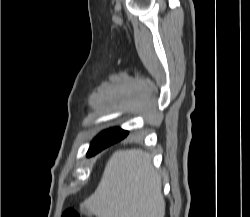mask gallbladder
<instances>
[{"instance_id":"gallbladder-1","label":"gallbladder","mask_w":250,"mask_h":217,"mask_svg":"<svg viewBox=\"0 0 250 217\" xmlns=\"http://www.w3.org/2000/svg\"><path fill=\"white\" fill-rule=\"evenodd\" d=\"M81 211L84 212V213H87V210L84 209V208H82Z\"/></svg>"}]
</instances>
